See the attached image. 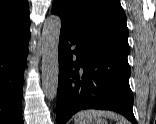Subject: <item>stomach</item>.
Masks as SVG:
<instances>
[{
	"instance_id": "0dacf381",
	"label": "stomach",
	"mask_w": 156,
	"mask_h": 124,
	"mask_svg": "<svg viewBox=\"0 0 156 124\" xmlns=\"http://www.w3.org/2000/svg\"><path fill=\"white\" fill-rule=\"evenodd\" d=\"M88 124H107L102 118L92 119Z\"/></svg>"
}]
</instances>
